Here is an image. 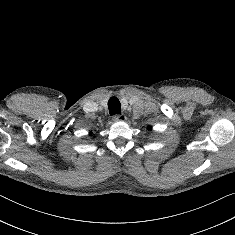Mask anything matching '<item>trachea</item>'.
I'll return each mask as SVG.
<instances>
[{"label": "trachea", "mask_w": 235, "mask_h": 235, "mask_svg": "<svg viewBox=\"0 0 235 235\" xmlns=\"http://www.w3.org/2000/svg\"><path fill=\"white\" fill-rule=\"evenodd\" d=\"M108 108L111 115L121 113V104L117 97H111L108 101Z\"/></svg>", "instance_id": "trachea-1"}]
</instances>
